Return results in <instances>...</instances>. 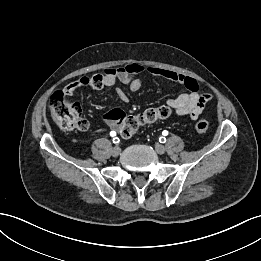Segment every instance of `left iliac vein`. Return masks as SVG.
I'll use <instances>...</instances> for the list:
<instances>
[{
	"label": "left iliac vein",
	"instance_id": "4c4485c4",
	"mask_svg": "<svg viewBox=\"0 0 261 261\" xmlns=\"http://www.w3.org/2000/svg\"><path fill=\"white\" fill-rule=\"evenodd\" d=\"M155 150H156V152L158 154H164L165 151H166V148L163 145H161V144H156L155 145Z\"/></svg>",
	"mask_w": 261,
	"mask_h": 261
}]
</instances>
